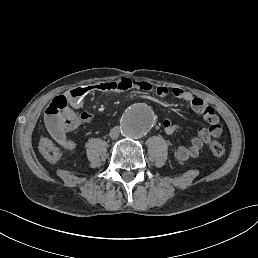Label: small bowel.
I'll return each instance as SVG.
<instances>
[{
	"label": "small bowel",
	"mask_w": 258,
	"mask_h": 258,
	"mask_svg": "<svg viewBox=\"0 0 258 258\" xmlns=\"http://www.w3.org/2000/svg\"><path fill=\"white\" fill-rule=\"evenodd\" d=\"M130 89H137L145 92H154L160 97L169 94L176 99L188 103L191 109L208 123V126L199 128L197 136H195L189 146H175L172 148L173 156L185 161L189 158L198 156L200 150L205 144L212 139L218 138L222 133L220 118L215 109L208 105L202 98L194 96L192 93L180 88L168 89L164 86L154 87L151 83L140 80H132L129 78H120L113 82H102L91 85L76 87L69 90L64 95L55 97L45 112V124L52 138L64 149L73 150L75 142L66 135V128L63 125V117L71 110H81L84 105V99L87 95L94 92H122ZM82 123L90 124L93 122V116L89 113H82ZM164 131L171 135L178 130L180 126L174 124L170 118L165 119Z\"/></svg>",
	"instance_id": "1"
}]
</instances>
